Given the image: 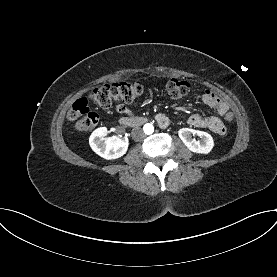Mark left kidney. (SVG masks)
Returning <instances> with one entry per match:
<instances>
[{
	"mask_svg": "<svg viewBox=\"0 0 277 277\" xmlns=\"http://www.w3.org/2000/svg\"><path fill=\"white\" fill-rule=\"evenodd\" d=\"M192 134L198 135L201 140L196 141L195 139H192ZM178 135L185 146L194 153L208 154L214 147L213 138L207 132L182 128L179 130Z\"/></svg>",
	"mask_w": 277,
	"mask_h": 277,
	"instance_id": "left-kidney-1",
	"label": "left kidney"
}]
</instances>
